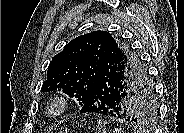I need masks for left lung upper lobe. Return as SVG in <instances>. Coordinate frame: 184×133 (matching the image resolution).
Masks as SVG:
<instances>
[{
    "label": "left lung upper lobe",
    "mask_w": 184,
    "mask_h": 133,
    "mask_svg": "<svg viewBox=\"0 0 184 133\" xmlns=\"http://www.w3.org/2000/svg\"><path fill=\"white\" fill-rule=\"evenodd\" d=\"M105 56L112 59L116 67H122L127 93L132 92L126 106L130 123L137 127L150 123L156 116L157 107L146 67L121 38L113 37L108 31L90 32L68 43L52 58L42 91L63 90L69 97H76L83 106L98 82L100 62ZM142 85L150 87L152 92L145 94Z\"/></svg>",
    "instance_id": "1"
}]
</instances>
